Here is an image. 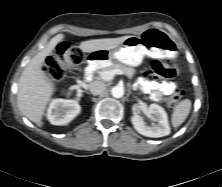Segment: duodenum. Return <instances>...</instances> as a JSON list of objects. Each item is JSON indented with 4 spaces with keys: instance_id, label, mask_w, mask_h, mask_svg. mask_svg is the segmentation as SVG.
<instances>
[{
    "instance_id": "duodenum-1",
    "label": "duodenum",
    "mask_w": 222,
    "mask_h": 187,
    "mask_svg": "<svg viewBox=\"0 0 222 187\" xmlns=\"http://www.w3.org/2000/svg\"><path fill=\"white\" fill-rule=\"evenodd\" d=\"M96 65H97V62H96V61H91V62L87 65V67H86V69H85V72H84V80H82V81L78 84V86H79L80 88H84L85 85H86V82H87V81H90V80L92 79Z\"/></svg>"
}]
</instances>
